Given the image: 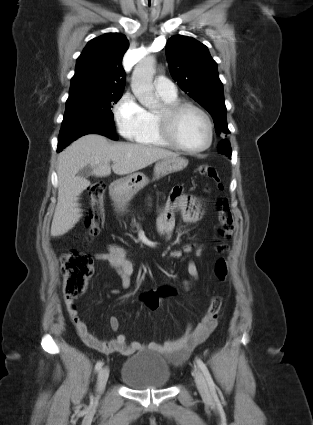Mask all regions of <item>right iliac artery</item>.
I'll return each instance as SVG.
<instances>
[{
	"mask_svg": "<svg viewBox=\"0 0 313 425\" xmlns=\"http://www.w3.org/2000/svg\"><path fill=\"white\" fill-rule=\"evenodd\" d=\"M103 366V362L102 361H98L95 365V371L98 372Z\"/></svg>",
	"mask_w": 313,
	"mask_h": 425,
	"instance_id": "obj_1",
	"label": "right iliac artery"
}]
</instances>
